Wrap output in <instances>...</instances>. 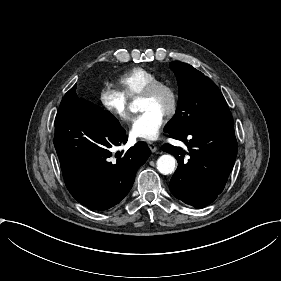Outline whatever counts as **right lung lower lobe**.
I'll use <instances>...</instances> for the list:
<instances>
[{
  "mask_svg": "<svg viewBox=\"0 0 281 281\" xmlns=\"http://www.w3.org/2000/svg\"><path fill=\"white\" fill-rule=\"evenodd\" d=\"M127 139L110 112L77 97L76 85L65 94L55 118L54 146L66 187L79 203L103 211L128 194L151 152L140 141L114 158L112 149Z\"/></svg>",
  "mask_w": 281,
  "mask_h": 281,
  "instance_id": "98d812e1",
  "label": "right lung lower lobe"
}]
</instances>
